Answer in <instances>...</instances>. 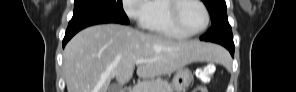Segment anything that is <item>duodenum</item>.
<instances>
[{
    "label": "duodenum",
    "instance_id": "obj_1",
    "mask_svg": "<svg viewBox=\"0 0 296 92\" xmlns=\"http://www.w3.org/2000/svg\"><path fill=\"white\" fill-rule=\"evenodd\" d=\"M121 92H135V89L133 86H128L121 90Z\"/></svg>",
    "mask_w": 296,
    "mask_h": 92
}]
</instances>
